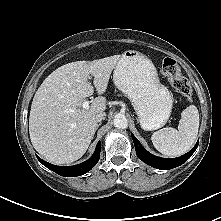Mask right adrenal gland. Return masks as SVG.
<instances>
[{"label":"right adrenal gland","mask_w":221,"mask_h":221,"mask_svg":"<svg viewBox=\"0 0 221 221\" xmlns=\"http://www.w3.org/2000/svg\"><path fill=\"white\" fill-rule=\"evenodd\" d=\"M101 125V123H99L98 125H97V128H96V130L98 129V127Z\"/></svg>","instance_id":"1"}]
</instances>
